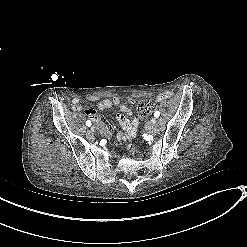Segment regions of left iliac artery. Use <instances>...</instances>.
I'll list each match as a JSON object with an SVG mask.
<instances>
[{
	"instance_id": "1",
	"label": "left iliac artery",
	"mask_w": 247,
	"mask_h": 247,
	"mask_svg": "<svg viewBox=\"0 0 247 247\" xmlns=\"http://www.w3.org/2000/svg\"><path fill=\"white\" fill-rule=\"evenodd\" d=\"M154 116H155L156 118H158V117L160 116V112H159V111H155Z\"/></svg>"
}]
</instances>
